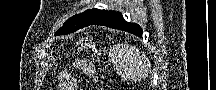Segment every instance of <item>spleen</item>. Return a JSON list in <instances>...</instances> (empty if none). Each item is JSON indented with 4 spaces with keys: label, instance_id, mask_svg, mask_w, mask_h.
<instances>
[{
    "label": "spleen",
    "instance_id": "1",
    "mask_svg": "<svg viewBox=\"0 0 216 90\" xmlns=\"http://www.w3.org/2000/svg\"><path fill=\"white\" fill-rule=\"evenodd\" d=\"M124 54L126 58L125 62H127L132 72H143L145 70L147 60L143 52H140L138 48L124 44Z\"/></svg>",
    "mask_w": 216,
    "mask_h": 90
}]
</instances>
